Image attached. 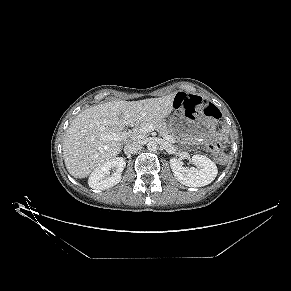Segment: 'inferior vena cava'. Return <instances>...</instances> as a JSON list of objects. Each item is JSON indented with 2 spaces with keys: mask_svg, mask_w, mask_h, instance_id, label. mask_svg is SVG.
<instances>
[{
  "mask_svg": "<svg viewBox=\"0 0 291 291\" xmlns=\"http://www.w3.org/2000/svg\"><path fill=\"white\" fill-rule=\"evenodd\" d=\"M140 147H141V145L137 141L129 142L124 147V153L125 154H135L140 149Z\"/></svg>",
  "mask_w": 291,
  "mask_h": 291,
  "instance_id": "1",
  "label": "inferior vena cava"
}]
</instances>
